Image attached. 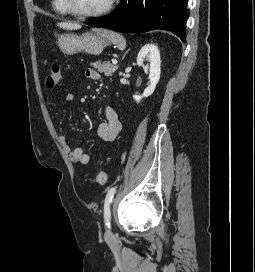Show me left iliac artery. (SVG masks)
Here are the masks:
<instances>
[{"label": "left iliac artery", "mask_w": 255, "mask_h": 272, "mask_svg": "<svg viewBox=\"0 0 255 272\" xmlns=\"http://www.w3.org/2000/svg\"><path fill=\"white\" fill-rule=\"evenodd\" d=\"M115 192H116V188L112 187L108 191L104 200V219H105L106 225L109 228H110V217H111L110 204L112 202Z\"/></svg>", "instance_id": "1"}]
</instances>
